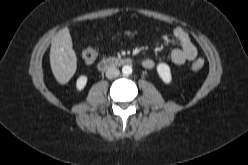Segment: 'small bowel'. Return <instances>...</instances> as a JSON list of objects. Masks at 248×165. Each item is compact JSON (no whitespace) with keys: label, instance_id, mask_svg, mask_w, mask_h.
I'll use <instances>...</instances> for the list:
<instances>
[{"label":"small bowel","instance_id":"obj_1","mask_svg":"<svg viewBox=\"0 0 248 165\" xmlns=\"http://www.w3.org/2000/svg\"><path fill=\"white\" fill-rule=\"evenodd\" d=\"M174 39L178 43V47L175 48L171 54V62L175 65H183L188 61H193L197 57V49L192 43V40L187 31L182 28H175L172 32ZM120 39H132L134 34L132 32H122L118 34ZM142 65L146 69H154L156 63L149 58L142 61Z\"/></svg>","mask_w":248,"mask_h":165}]
</instances>
